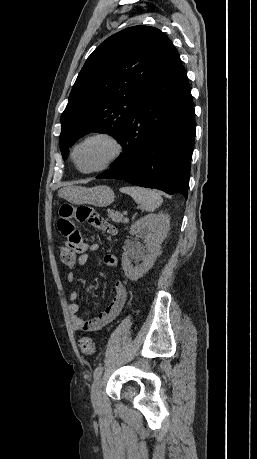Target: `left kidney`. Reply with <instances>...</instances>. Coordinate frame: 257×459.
<instances>
[{"mask_svg":"<svg viewBox=\"0 0 257 459\" xmlns=\"http://www.w3.org/2000/svg\"><path fill=\"white\" fill-rule=\"evenodd\" d=\"M170 227L168 214H148L136 221L130 228V235H141L146 245L141 246L127 241L122 256V266L127 278L136 281L150 270L157 256L161 253V244ZM140 259L142 263L133 267L130 259Z\"/></svg>","mask_w":257,"mask_h":459,"instance_id":"obj_1","label":"left kidney"}]
</instances>
